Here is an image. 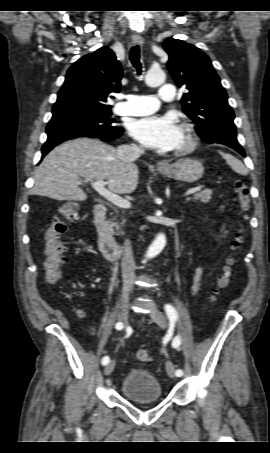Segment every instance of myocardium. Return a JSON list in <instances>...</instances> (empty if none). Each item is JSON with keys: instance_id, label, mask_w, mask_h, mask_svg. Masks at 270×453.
Here are the masks:
<instances>
[{"instance_id": "1", "label": "myocardium", "mask_w": 270, "mask_h": 453, "mask_svg": "<svg viewBox=\"0 0 270 453\" xmlns=\"http://www.w3.org/2000/svg\"><path fill=\"white\" fill-rule=\"evenodd\" d=\"M182 130H183V143L181 146L177 147L175 151V153L178 155H184L193 151L197 144L196 138L189 125H184Z\"/></svg>"}]
</instances>
